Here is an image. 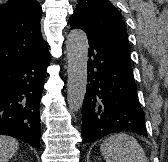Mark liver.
<instances>
[{"mask_svg":"<svg viewBox=\"0 0 168 162\" xmlns=\"http://www.w3.org/2000/svg\"><path fill=\"white\" fill-rule=\"evenodd\" d=\"M19 147L18 141L10 136L0 135V162H8Z\"/></svg>","mask_w":168,"mask_h":162,"instance_id":"liver-1","label":"liver"}]
</instances>
